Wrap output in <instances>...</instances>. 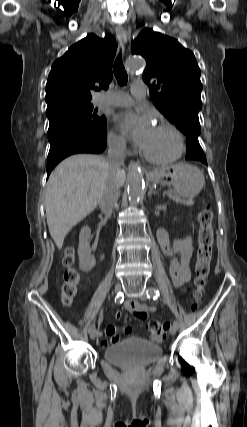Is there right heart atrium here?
Wrapping results in <instances>:
<instances>
[{
    "label": "right heart atrium",
    "mask_w": 247,
    "mask_h": 427,
    "mask_svg": "<svg viewBox=\"0 0 247 427\" xmlns=\"http://www.w3.org/2000/svg\"><path fill=\"white\" fill-rule=\"evenodd\" d=\"M107 144L113 151L120 153H125L127 151V144L125 139L113 130L108 132Z\"/></svg>",
    "instance_id": "obj_1"
}]
</instances>
